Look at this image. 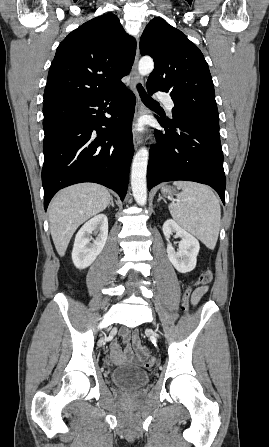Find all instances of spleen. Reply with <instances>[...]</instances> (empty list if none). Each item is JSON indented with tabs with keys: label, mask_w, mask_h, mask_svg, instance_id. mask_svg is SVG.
<instances>
[{
	"label": "spleen",
	"mask_w": 269,
	"mask_h": 447,
	"mask_svg": "<svg viewBox=\"0 0 269 447\" xmlns=\"http://www.w3.org/2000/svg\"><path fill=\"white\" fill-rule=\"evenodd\" d=\"M173 186L183 190L177 194V204L168 206L173 220L214 249L221 222L220 204L214 192L195 182H173Z\"/></svg>",
	"instance_id": "spleen-1"
}]
</instances>
